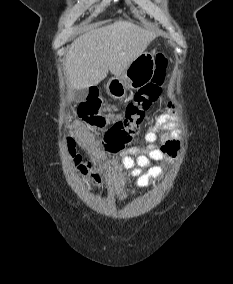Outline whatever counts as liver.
Masks as SVG:
<instances>
[{
    "label": "liver",
    "mask_w": 233,
    "mask_h": 284,
    "mask_svg": "<svg viewBox=\"0 0 233 284\" xmlns=\"http://www.w3.org/2000/svg\"><path fill=\"white\" fill-rule=\"evenodd\" d=\"M156 37L155 32L127 21L87 31L73 41L66 55L70 88L98 85L109 71L120 76Z\"/></svg>",
    "instance_id": "1"
}]
</instances>
